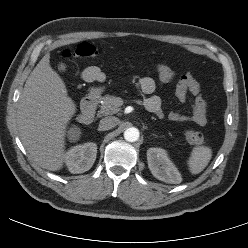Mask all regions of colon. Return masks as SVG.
I'll list each match as a JSON object with an SVG mask.
<instances>
[{
  "label": "colon",
  "instance_id": "obj_1",
  "mask_svg": "<svg viewBox=\"0 0 248 248\" xmlns=\"http://www.w3.org/2000/svg\"><path fill=\"white\" fill-rule=\"evenodd\" d=\"M102 54V49L96 47L90 43H81L75 50H65L63 56L66 58H95ZM153 71L164 83H175L179 76L177 72L168 65L165 64H155L153 66ZM186 138L189 143L193 145H202L205 143V138L203 135L195 130H189L186 132Z\"/></svg>",
  "mask_w": 248,
  "mask_h": 248
}]
</instances>
